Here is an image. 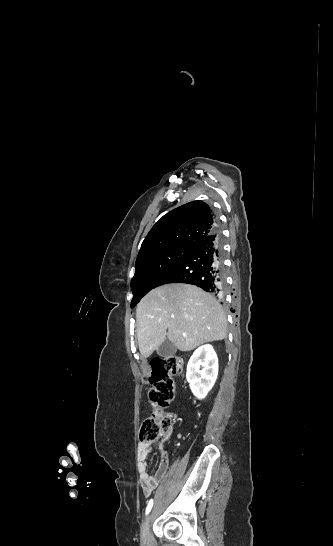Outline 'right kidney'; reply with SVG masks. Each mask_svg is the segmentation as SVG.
Masks as SVG:
<instances>
[{"instance_id": "1", "label": "right kidney", "mask_w": 333, "mask_h": 546, "mask_svg": "<svg viewBox=\"0 0 333 546\" xmlns=\"http://www.w3.org/2000/svg\"><path fill=\"white\" fill-rule=\"evenodd\" d=\"M200 366L203 367L200 370ZM218 375V358L211 345L196 349L187 365L186 378L197 399H204L214 386Z\"/></svg>"}]
</instances>
